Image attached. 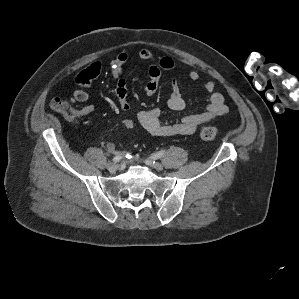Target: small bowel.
Masks as SVG:
<instances>
[{
	"label": "small bowel",
	"instance_id": "small-bowel-1",
	"mask_svg": "<svg viewBox=\"0 0 299 299\" xmlns=\"http://www.w3.org/2000/svg\"><path fill=\"white\" fill-rule=\"evenodd\" d=\"M138 58L142 61L150 63L148 68L149 81L145 86L147 95L156 93L159 81L163 71H169L174 68V61L171 57H156L152 51L142 49L138 52ZM129 61V56L125 52H121L112 61L111 75L116 80L115 95L122 111L130 109L127 100V83L122 77V67ZM101 71L99 63H93L84 69L77 77L79 88L74 92V99L77 102H85L88 99L86 88L92 80L98 77ZM189 78L193 81L199 79V73L196 70L189 72ZM205 91L209 94L208 105L206 109L199 113L187 115L177 123H169L162 119V113L159 109H147L138 112V123L151 135L154 136H176L194 134L197 128L212 119L225 115L228 112V106L225 103L224 96L215 91V84L207 82L204 85ZM168 107L174 111L184 110L189 104L186 94L180 89L176 78L172 80V92L167 100ZM83 114H89L93 111V106L86 105L82 108ZM106 147L109 151H114L113 143L108 142Z\"/></svg>",
	"mask_w": 299,
	"mask_h": 299
}]
</instances>
